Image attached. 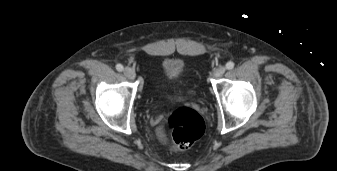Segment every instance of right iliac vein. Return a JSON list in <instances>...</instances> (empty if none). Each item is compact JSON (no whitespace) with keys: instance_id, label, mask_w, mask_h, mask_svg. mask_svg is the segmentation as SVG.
<instances>
[{"instance_id":"obj_1","label":"right iliac vein","mask_w":337,"mask_h":171,"mask_svg":"<svg viewBox=\"0 0 337 171\" xmlns=\"http://www.w3.org/2000/svg\"><path fill=\"white\" fill-rule=\"evenodd\" d=\"M123 73L130 80H134L135 77H136L135 71L132 68H130V67H126L123 70Z\"/></svg>"}]
</instances>
